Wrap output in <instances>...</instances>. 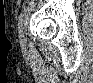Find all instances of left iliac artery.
I'll return each instance as SVG.
<instances>
[{"mask_svg":"<svg viewBox=\"0 0 93 83\" xmlns=\"http://www.w3.org/2000/svg\"><path fill=\"white\" fill-rule=\"evenodd\" d=\"M26 9H24V11L20 14L19 18H18V31H19V36H22V32H23V20H24V16L26 14Z\"/></svg>","mask_w":93,"mask_h":83,"instance_id":"44dca946","label":"left iliac artery"}]
</instances>
